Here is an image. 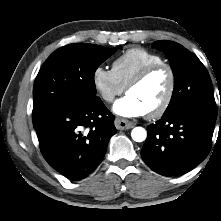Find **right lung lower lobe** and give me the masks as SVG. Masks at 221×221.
<instances>
[{
  "mask_svg": "<svg viewBox=\"0 0 221 221\" xmlns=\"http://www.w3.org/2000/svg\"><path fill=\"white\" fill-rule=\"evenodd\" d=\"M34 128L44 159L70 181L84 179L98 167L117 132L114 116L100 98L60 105Z\"/></svg>",
  "mask_w": 221,
  "mask_h": 221,
  "instance_id": "1",
  "label": "right lung lower lobe"
}]
</instances>
